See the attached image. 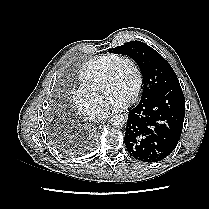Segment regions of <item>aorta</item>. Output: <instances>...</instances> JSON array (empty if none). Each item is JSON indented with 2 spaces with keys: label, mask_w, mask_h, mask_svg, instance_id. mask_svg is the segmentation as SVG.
<instances>
[{
  "label": "aorta",
  "mask_w": 209,
  "mask_h": 209,
  "mask_svg": "<svg viewBox=\"0 0 209 209\" xmlns=\"http://www.w3.org/2000/svg\"><path fill=\"white\" fill-rule=\"evenodd\" d=\"M111 124L114 126V127H123L125 124H126V117L124 115H114L112 118H111Z\"/></svg>",
  "instance_id": "obj_1"
}]
</instances>
